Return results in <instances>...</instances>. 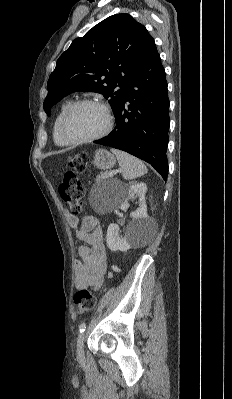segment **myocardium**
<instances>
[{"label": "myocardium", "mask_w": 232, "mask_h": 399, "mask_svg": "<svg viewBox=\"0 0 232 399\" xmlns=\"http://www.w3.org/2000/svg\"><path fill=\"white\" fill-rule=\"evenodd\" d=\"M81 105H98L100 107H102L107 115V125L104 128L103 131H101L99 134L88 137V138H84V139H77L75 137H73L67 128V121L68 118L70 116V114L72 113V111ZM114 127V116H113V112L110 108V106L100 100H96V99H83V100H79L76 101L74 103H72L64 112L62 120H61V131L62 134L64 135V137L71 142L74 145H78V144H86V143H92V142H96L99 140H102L103 138H105L106 136H108L112 129Z\"/></svg>", "instance_id": "f54148a6"}]
</instances>
